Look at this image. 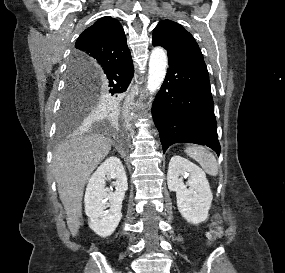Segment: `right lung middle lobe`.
<instances>
[{"label":"right lung middle lobe","mask_w":285,"mask_h":273,"mask_svg":"<svg viewBox=\"0 0 285 273\" xmlns=\"http://www.w3.org/2000/svg\"><path fill=\"white\" fill-rule=\"evenodd\" d=\"M91 80L92 78H87L85 75L81 77L75 70L69 68L59 119V127L62 131L74 126L99 104L108 105L118 101V94L106 93L93 86Z\"/></svg>","instance_id":"obj_1"}]
</instances>
